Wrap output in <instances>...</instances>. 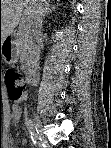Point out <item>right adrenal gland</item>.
Returning <instances> with one entry per match:
<instances>
[{
    "mask_svg": "<svg viewBox=\"0 0 111 148\" xmlns=\"http://www.w3.org/2000/svg\"><path fill=\"white\" fill-rule=\"evenodd\" d=\"M48 8H46V11L44 12V15H43V18H45L46 15H48L50 12L52 11H55L56 9V6L54 5H50V6H47Z\"/></svg>",
    "mask_w": 111,
    "mask_h": 148,
    "instance_id": "1",
    "label": "right adrenal gland"
}]
</instances>
